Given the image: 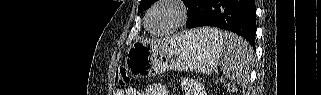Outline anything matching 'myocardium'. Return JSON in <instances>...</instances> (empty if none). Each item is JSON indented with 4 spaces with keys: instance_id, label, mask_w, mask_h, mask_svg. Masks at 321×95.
<instances>
[{
    "instance_id": "obj_1",
    "label": "myocardium",
    "mask_w": 321,
    "mask_h": 95,
    "mask_svg": "<svg viewBox=\"0 0 321 95\" xmlns=\"http://www.w3.org/2000/svg\"><path fill=\"white\" fill-rule=\"evenodd\" d=\"M163 5H171L175 8L177 12V17L175 22L168 28L156 31L150 28L149 21L151 18L152 13L159 7ZM188 19V10L186 5L182 0H157L151 5V7L147 10L145 14V20H144V27L145 29L157 36L167 35L176 32L178 29H180L187 21Z\"/></svg>"
}]
</instances>
